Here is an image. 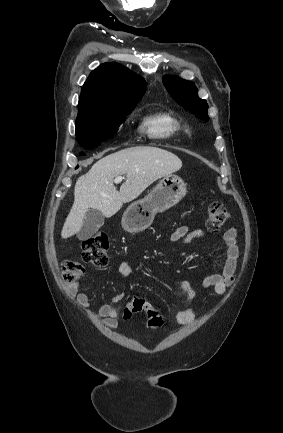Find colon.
Wrapping results in <instances>:
<instances>
[{
	"label": "colon",
	"mask_w": 283,
	"mask_h": 433,
	"mask_svg": "<svg viewBox=\"0 0 283 433\" xmlns=\"http://www.w3.org/2000/svg\"><path fill=\"white\" fill-rule=\"evenodd\" d=\"M230 220V215L221 202L214 201L208 205L206 226L210 231H219ZM109 240L106 234H95L82 243V259L97 269H104L108 263ZM84 269L74 261H64L62 264L63 278L66 283L73 284L82 275ZM145 311L146 325L150 329H158L163 325L162 315L151 308L141 298H134L124 309V318L130 319L133 314Z\"/></svg>",
	"instance_id": "5ec220e1"
}]
</instances>
